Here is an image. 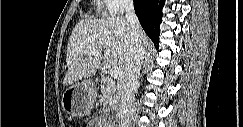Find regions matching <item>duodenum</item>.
<instances>
[{"instance_id":"1","label":"duodenum","mask_w":243,"mask_h":127,"mask_svg":"<svg viewBox=\"0 0 243 127\" xmlns=\"http://www.w3.org/2000/svg\"><path fill=\"white\" fill-rule=\"evenodd\" d=\"M99 81H100V82L104 81V78H100Z\"/></svg>"}]
</instances>
